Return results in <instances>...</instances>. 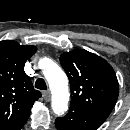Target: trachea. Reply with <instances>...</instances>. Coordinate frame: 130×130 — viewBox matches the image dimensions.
Here are the masks:
<instances>
[{"instance_id": "1", "label": "trachea", "mask_w": 130, "mask_h": 130, "mask_svg": "<svg viewBox=\"0 0 130 130\" xmlns=\"http://www.w3.org/2000/svg\"><path fill=\"white\" fill-rule=\"evenodd\" d=\"M35 87L37 89H40V90H46L47 89V85L42 78H39V79L36 80Z\"/></svg>"}]
</instances>
